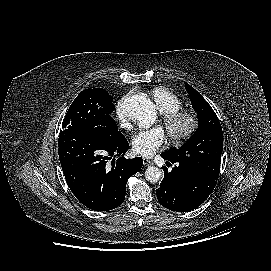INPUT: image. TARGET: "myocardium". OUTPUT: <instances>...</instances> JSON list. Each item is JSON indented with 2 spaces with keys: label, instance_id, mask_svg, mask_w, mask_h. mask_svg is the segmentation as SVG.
I'll return each mask as SVG.
<instances>
[{
  "label": "myocardium",
  "instance_id": "f54148a6",
  "mask_svg": "<svg viewBox=\"0 0 271 271\" xmlns=\"http://www.w3.org/2000/svg\"><path fill=\"white\" fill-rule=\"evenodd\" d=\"M162 121L175 143L188 140L199 126L198 118L193 112L180 109L163 113Z\"/></svg>",
  "mask_w": 271,
  "mask_h": 271
}]
</instances>
